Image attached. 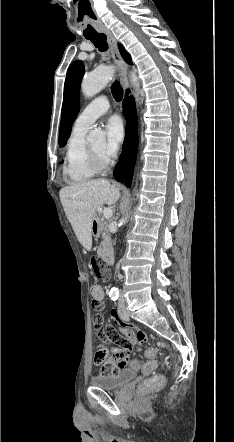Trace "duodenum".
Here are the masks:
<instances>
[{"label": "duodenum", "instance_id": "1", "mask_svg": "<svg viewBox=\"0 0 234 442\" xmlns=\"http://www.w3.org/2000/svg\"><path fill=\"white\" fill-rule=\"evenodd\" d=\"M101 231V225L99 223H94L93 225V233L98 235ZM100 255L102 259L108 264L111 265L114 261L112 253L106 248L102 247L100 250Z\"/></svg>", "mask_w": 234, "mask_h": 442}]
</instances>
